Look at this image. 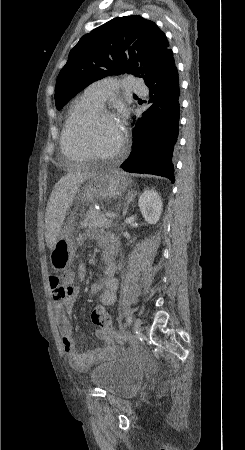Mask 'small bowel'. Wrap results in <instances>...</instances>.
Here are the masks:
<instances>
[{
    "instance_id": "obj_1",
    "label": "small bowel",
    "mask_w": 245,
    "mask_h": 450,
    "mask_svg": "<svg viewBox=\"0 0 245 450\" xmlns=\"http://www.w3.org/2000/svg\"><path fill=\"white\" fill-rule=\"evenodd\" d=\"M90 240H97L101 243L103 246L102 257L108 258L110 262L108 268L105 269L103 278L96 281L92 286V291L99 296L100 303L109 307L115 303V293L118 287V280L115 278L116 265L114 262L118 242L110 233L95 234L86 232L78 236L77 243L83 246ZM74 277L73 273L68 274L64 278L53 274L49 276L48 282L53 299L54 315L61 335L62 348L74 369L86 370L105 353L112 340L106 330L98 328L96 335L100 340L104 341V348L93 347L89 350H83L76 347L69 319V315L80 294V288L74 284ZM77 277L80 280L86 277V269L84 267L80 266L78 268Z\"/></svg>"
}]
</instances>
